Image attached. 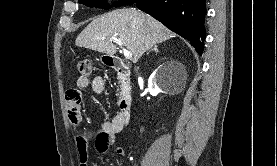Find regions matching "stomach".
Returning a JSON list of instances; mask_svg holds the SVG:
<instances>
[{"label":"stomach","mask_w":277,"mask_h":166,"mask_svg":"<svg viewBox=\"0 0 277 166\" xmlns=\"http://www.w3.org/2000/svg\"><path fill=\"white\" fill-rule=\"evenodd\" d=\"M108 59H109L108 56L102 55V56L99 58V61H100L102 64H107Z\"/></svg>","instance_id":"0dacf381"}]
</instances>
